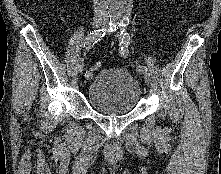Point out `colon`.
Segmentation results:
<instances>
[{"mask_svg":"<svg viewBox=\"0 0 221 174\" xmlns=\"http://www.w3.org/2000/svg\"><path fill=\"white\" fill-rule=\"evenodd\" d=\"M101 68V63L100 62H96V63H94L92 66H91V70L92 71H96V70H98V69H100Z\"/></svg>","mask_w":221,"mask_h":174,"instance_id":"5ec220e1","label":"colon"}]
</instances>
